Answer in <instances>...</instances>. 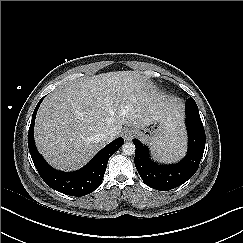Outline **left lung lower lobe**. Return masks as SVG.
<instances>
[{"label":"left lung lower lobe","mask_w":243,"mask_h":243,"mask_svg":"<svg viewBox=\"0 0 243 243\" xmlns=\"http://www.w3.org/2000/svg\"><path fill=\"white\" fill-rule=\"evenodd\" d=\"M186 126L188 130V153L177 164L159 165L150 160L149 149L137 139L135 166L143 182L156 190L168 191L189 180L197 171L205 148V131L199 110L193 98L186 101Z\"/></svg>","instance_id":"0a47b994"}]
</instances>
